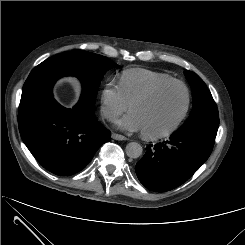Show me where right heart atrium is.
Instances as JSON below:
<instances>
[{
    "instance_id": "1",
    "label": "right heart atrium",
    "mask_w": 245,
    "mask_h": 245,
    "mask_svg": "<svg viewBox=\"0 0 245 245\" xmlns=\"http://www.w3.org/2000/svg\"><path fill=\"white\" fill-rule=\"evenodd\" d=\"M128 108L118 85L106 84L100 92V112L108 121L116 120Z\"/></svg>"
}]
</instances>
